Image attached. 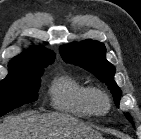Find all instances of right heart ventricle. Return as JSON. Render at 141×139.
<instances>
[{"instance_id":"1","label":"right heart ventricle","mask_w":141,"mask_h":139,"mask_svg":"<svg viewBox=\"0 0 141 139\" xmlns=\"http://www.w3.org/2000/svg\"><path fill=\"white\" fill-rule=\"evenodd\" d=\"M89 89V86L70 74L57 75L48 86L51 106L77 117H91L95 114L88 103Z\"/></svg>"}]
</instances>
